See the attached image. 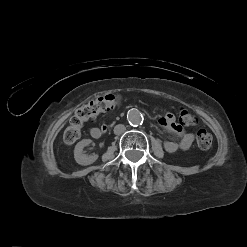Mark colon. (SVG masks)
<instances>
[{"mask_svg":"<svg viewBox=\"0 0 247 247\" xmlns=\"http://www.w3.org/2000/svg\"><path fill=\"white\" fill-rule=\"evenodd\" d=\"M121 103V97L115 94H108L98 97L80 106L71 117L69 125L64 131L63 141L67 145L74 144L81 136L83 124L100 113L112 110ZM197 122L196 117L188 110L181 109L179 113V126L190 127ZM197 145L202 150H208L212 146V135L206 130H199L197 133Z\"/></svg>","mask_w":247,"mask_h":247,"instance_id":"obj_1","label":"colon"}]
</instances>
